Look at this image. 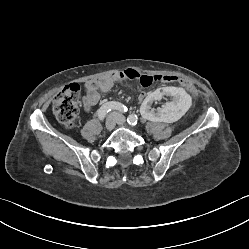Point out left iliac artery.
Wrapping results in <instances>:
<instances>
[{
    "instance_id": "44dca946",
    "label": "left iliac artery",
    "mask_w": 249,
    "mask_h": 249,
    "mask_svg": "<svg viewBox=\"0 0 249 249\" xmlns=\"http://www.w3.org/2000/svg\"><path fill=\"white\" fill-rule=\"evenodd\" d=\"M137 115L135 114H131L129 115V117L127 118V122L129 125L131 126H136L137 125Z\"/></svg>"
}]
</instances>
